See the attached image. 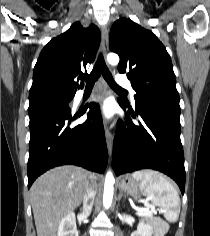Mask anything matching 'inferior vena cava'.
Here are the masks:
<instances>
[{
    "mask_svg": "<svg viewBox=\"0 0 210 236\" xmlns=\"http://www.w3.org/2000/svg\"><path fill=\"white\" fill-rule=\"evenodd\" d=\"M96 196L95 183L91 181L86 193L83 197V212L89 214L92 210L94 200Z\"/></svg>",
    "mask_w": 210,
    "mask_h": 236,
    "instance_id": "602c4592",
    "label": "inferior vena cava"
}]
</instances>
